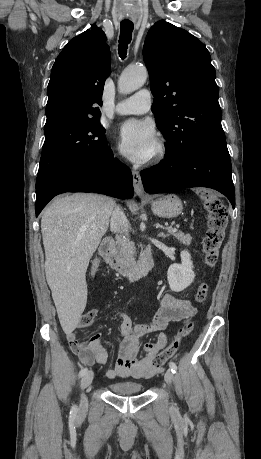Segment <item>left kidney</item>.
<instances>
[{"instance_id": "5707ae66", "label": "left kidney", "mask_w": 261, "mask_h": 459, "mask_svg": "<svg viewBox=\"0 0 261 459\" xmlns=\"http://www.w3.org/2000/svg\"><path fill=\"white\" fill-rule=\"evenodd\" d=\"M180 256L181 264H173L167 271L168 283L170 289L174 292H180L186 289L191 285L195 278L190 253L183 250Z\"/></svg>"}]
</instances>
